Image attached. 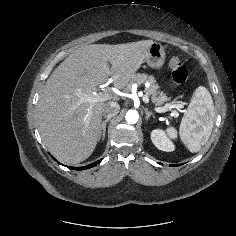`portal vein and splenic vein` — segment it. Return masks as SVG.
<instances>
[{
	"label": "portal vein and splenic vein",
	"mask_w": 236,
	"mask_h": 236,
	"mask_svg": "<svg viewBox=\"0 0 236 236\" xmlns=\"http://www.w3.org/2000/svg\"><path fill=\"white\" fill-rule=\"evenodd\" d=\"M111 94L110 93H98V94H95L94 97L92 98H88L86 99L88 102L90 103H96V102H103V101H107L111 98ZM143 101L147 104L149 103V97L147 95H144L143 96ZM154 110L157 112V113H164V112H167V111H171L170 108H168L167 106H164V107H155ZM172 116L174 117H178V112L176 111H173Z\"/></svg>",
	"instance_id": "obj_1"
}]
</instances>
